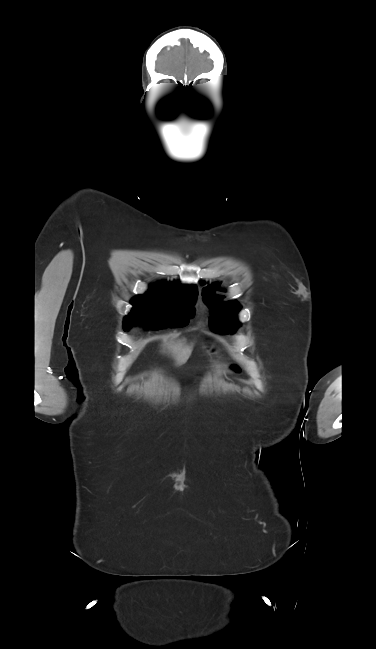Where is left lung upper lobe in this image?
<instances>
[{
	"mask_svg": "<svg viewBox=\"0 0 376 649\" xmlns=\"http://www.w3.org/2000/svg\"><path fill=\"white\" fill-rule=\"evenodd\" d=\"M219 286L220 283H212L211 286L204 288L202 293L204 302L215 313V316L210 320V326L220 334L235 333L236 329L241 326L236 316L240 306L236 301H229L227 304L223 303L222 297L214 294L219 289ZM222 291H225V289Z\"/></svg>",
	"mask_w": 376,
	"mask_h": 649,
	"instance_id": "5c2ea615",
	"label": "left lung upper lobe"
}]
</instances>
